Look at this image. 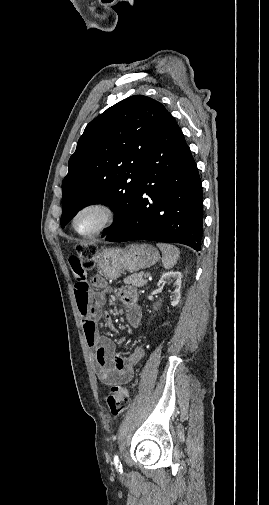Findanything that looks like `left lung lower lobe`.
I'll list each match as a JSON object with an SVG mask.
<instances>
[{
	"mask_svg": "<svg viewBox=\"0 0 269 505\" xmlns=\"http://www.w3.org/2000/svg\"><path fill=\"white\" fill-rule=\"evenodd\" d=\"M140 173L131 217L105 239L181 243L200 251L201 180L182 131L169 112L149 144Z\"/></svg>",
	"mask_w": 269,
	"mask_h": 505,
	"instance_id": "obj_1",
	"label": "left lung lower lobe"
}]
</instances>
